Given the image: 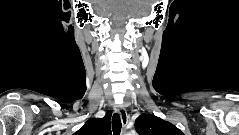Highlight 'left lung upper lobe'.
I'll use <instances>...</instances> for the list:
<instances>
[{"label":"left lung upper lobe","instance_id":"obj_1","mask_svg":"<svg viewBox=\"0 0 239 135\" xmlns=\"http://www.w3.org/2000/svg\"><path fill=\"white\" fill-rule=\"evenodd\" d=\"M139 135H184L176 126L157 116L142 114L135 121Z\"/></svg>","mask_w":239,"mask_h":135}]
</instances>
